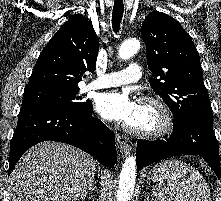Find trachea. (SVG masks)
<instances>
[{
    "label": "trachea",
    "mask_w": 221,
    "mask_h": 201,
    "mask_svg": "<svg viewBox=\"0 0 221 201\" xmlns=\"http://www.w3.org/2000/svg\"><path fill=\"white\" fill-rule=\"evenodd\" d=\"M124 12L123 0H115L112 12V28L115 33L119 32L121 20Z\"/></svg>",
    "instance_id": "obj_1"
}]
</instances>
